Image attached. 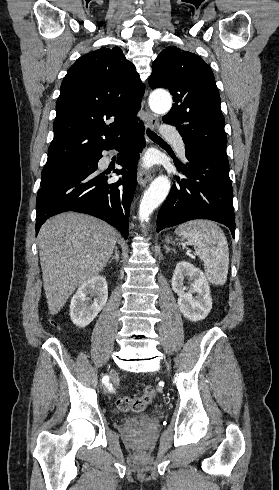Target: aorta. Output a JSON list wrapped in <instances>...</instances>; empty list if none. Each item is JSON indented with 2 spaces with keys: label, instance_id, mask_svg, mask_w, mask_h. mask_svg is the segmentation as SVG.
<instances>
[{
  "label": "aorta",
  "instance_id": "1",
  "mask_svg": "<svg viewBox=\"0 0 279 490\" xmlns=\"http://www.w3.org/2000/svg\"><path fill=\"white\" fill-rule=\"evenodd\" d=\"M149 105L153 112L166 114L172 107V98L166 91H155L149 97ZM171 188V182L167 176L155 178L145 191L140 206L139 219L147 222L152 212L166 199Z\"/></svg>",
  "mask_w": 279,
  "mask_h": 490
}]
</instances>
